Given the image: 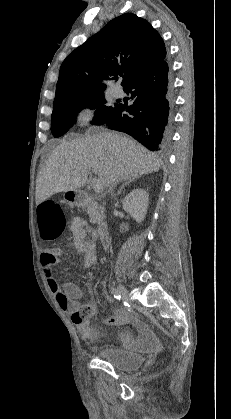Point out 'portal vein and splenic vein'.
Instances as JSON below:
<instances>
[{"mask_svg": "<svg viewBox=\"0 0 231 419\" xmlns=\"http://www.w3.org/2000/svg\"><path fill=\"white\" fill-rule=\"evenodd\" d=\"M93 189H94V191L96 192V193H100V192H102L103 191V189H104V186H103V183H102V181L101 180H95L94 182H93Z\"/></svg>", "mask_w": 231, "mask_h": 419, "instance_id": "1", "label": "portal vein and splenic vein"}]
</instances>
